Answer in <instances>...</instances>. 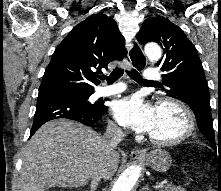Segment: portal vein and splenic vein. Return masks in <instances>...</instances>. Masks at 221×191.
<instances>
[{
    "label": "portal vein and splenic vein",
    "instance_id": "portal-vein-and-splenic-vein-1",
    "mask_svg": "<svg viewBox=\"0 0 221 191\" xmlns=\"http://www.w3.org/2000/svg\"><path fill=\"white\" fill-rule=\"evenodd\" d=\"M166 183H167V181H163V182L159 183L158 186L156 185L155 187H159V186L161 187L162 185H164Z\"/></svg>",
    "mask_w": 221,
    "mask_h": 191
}]
</instances>
